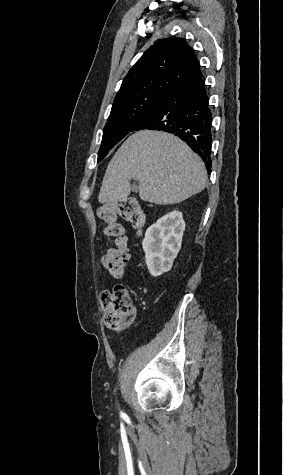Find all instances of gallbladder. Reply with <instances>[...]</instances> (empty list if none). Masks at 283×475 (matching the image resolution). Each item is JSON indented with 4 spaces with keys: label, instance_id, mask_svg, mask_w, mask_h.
<instances>
[{
    "label": "gallbladder",
    "instance_id": "bac80fb5",
    "mask_svg": "<svg viewBox=\"0 0 283 475\" xmlns=\"http://www.w3.org/2000/svg\"><path fill=\"white\" fill-rule=\"evenodd\" d=\"M132 192H138L137 186H132Z\"/></svg>",
    "mask_w": 283,
    "mask_h": 475
}]
</instances>
